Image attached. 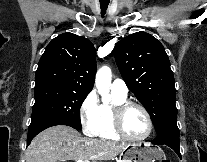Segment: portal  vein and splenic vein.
Instances as JSON below:
<instances>
[{
    "instance_id": "obj_1",
    "label": "portal vein and splenic vein",
    "mask_w": 207,
    "mask_h": 162,
    "mask_svg": "<svg viewBox=\"0 0 207 162\" xmlns=\"http://www.w3.org/2000/svg\"><path fill=\"white\" fill-rule=\"evenodd\" d=\"M77 162H89L88 160H78Z\"/></svg>"
}]
</instances>
